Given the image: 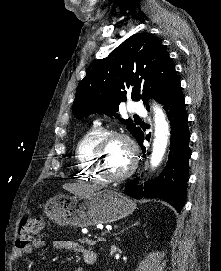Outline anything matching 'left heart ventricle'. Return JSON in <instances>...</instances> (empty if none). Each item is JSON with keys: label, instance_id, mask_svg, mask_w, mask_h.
Here are the masks:
<instances>
[{"label": "left heart ventricle", "instance_id": "1", "mask_svg": "<svg viewBox=\"0 0 221 271\" xmlns=\"http://www.w3.org/2000/svg\"><path fill=\"white\" fill-rule=\"evenodd\" d=\"M126 141L125 137H120L115 141H106L103 145V155L100 157L99 163L103 164L104 169H107V175H122L124 168H128L131 164V159H125L129 152H125Z\"/></svg>", "mask_w": 221, "mask_h": 271}]
</instances>
